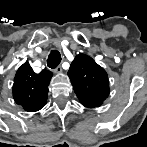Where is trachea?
<instances>
[{
	"label": "trachea",
	"instance_id": "3493384b",
	"mask_svg": "<svg viewBox=\"0 0 147 147\" xmlns=\"http://www.w3.org/2000/svg\"><path fill=\"white\" fill-rule=\"evenodd\" d=\"M61 61V57L58 54H54L51 57H49L47 61V65L51 69H55Z\"/></svg>",
	"mask_w": 147,
	"mask_h": 147
}]
</instances>
